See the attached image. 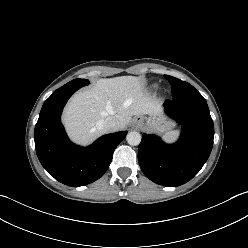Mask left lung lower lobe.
Masks as SVG:
<instances>
[{"label":"left lung lower lobe","instance_id":"left-lung-lower-lobe-1","mask_svg":"<svg viewBox=\"0 0 248 248\" xmlns=\"http://www.w3.org/2000/svg\"><path fill=\"white\" fill-rule=\"evenodd\" d=\"M165 111L182 125L179 140L169 145L155 135L144 134L138 161L150 180L174 187L191 180L207 161L213 146L214 126L202 95L167 100Z\"/></svg>","mask_w":248,"mask_h":248}]
</instances>
